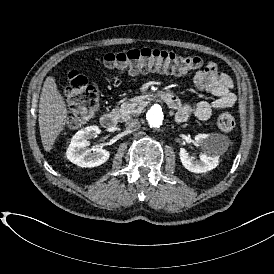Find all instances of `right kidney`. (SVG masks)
Wrapping results in <instances>:
<instances>
[{"mask_svg":"<svg viewBox=\"0 0 274 274\" xmlns=\"http://www.w3.org/2000/svg\"><path fill=\"white\" fill-rule=\"evenodd\" d=\"M101 133L98 126L90 125L80 129L71 139L66 151L67 159L82 168H92L106 163L111 153L104 149H98L93 153H87L85 148L89 146V140Z\"/></svg>","mask_w":274,"mask_h":274,"instance_id":"right-kidney-1","label":"right kidney"}]
</instances>
